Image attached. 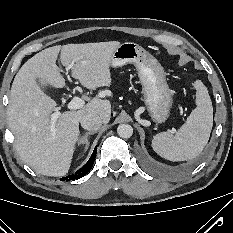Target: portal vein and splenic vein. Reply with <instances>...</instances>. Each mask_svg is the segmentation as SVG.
<instances>
[{
    "instance_id": "18ae733b",
    "label": "portal vein and splenic vein",
    "mask_w": 233,
    "mask_h": 233,
    "mask_svg": "<svg viewBox=\"0 0 233 233\" xmlns=\"http://www.w3.org/2000/svg\"><path fill=\"white\" fill-rule=\"evenodd\" d=\"M73 62L68 66L67 69L72 68L73 66ZM85 102L84 100H82L81 98H79L78 96L73 97V99L68 103V109L69 110H77L80 109L84 106ZM60 112L56 111L52 114L51 119H52V123H55L56 120L58 119V117L60 116Z\"/></svg>"
}]
</instances>
